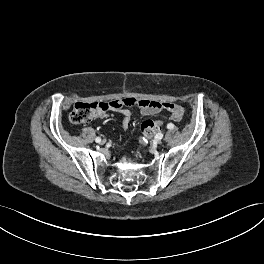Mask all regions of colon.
I'll return each mask as SVG.
<instances>
[{
    "instance_id": "colon-1",
    "label": "colon",
    "mask_w": 264,
    "mask_h": 264,
    "mask_svg": "<svg viewBox=\"0 0 264 264\" xmlns=\"http://www.w3.org/2000/svg\"><path fill=\"white\" fill-rule=\"evenodd\" d=\"M132 98H123L110 102H78L73 106L69 119L73 124H84L97 117L102 116L109 109H119L132 106ZM164 122L161 120H145L141 124V131L144 140L154 137L163 128Z\"/></svg>"
}]
</instances>
